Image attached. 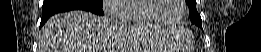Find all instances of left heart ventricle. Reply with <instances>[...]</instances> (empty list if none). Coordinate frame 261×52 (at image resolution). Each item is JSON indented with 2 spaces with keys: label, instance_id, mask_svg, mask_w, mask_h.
I'll use <instances>...</instances> for the list:
<instances>
[{
  "label": "left heart ventricle",
  "instance_id": "b2bd125f",
  "mask_svg": "<svg viewBox=\"0 0 261 52\" xmlns=\"http://www.w3.org/2000/svg\"><path fill=\"white\" fill-rule=\"evenodd\" d=\"M162 4L157 14L165 20H176L181 14V7L178 0H159Z\"/></svg>",
  "mask_w": 261,
  "mask_h": 52
}]
</instances>
